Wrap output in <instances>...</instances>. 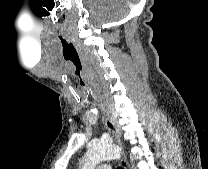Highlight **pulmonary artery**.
<instances>
[{
    "mask_svg": "<svg viewBox=\"0 0 208 169\" xmlns=\"http://www.w3.org/2000/svg\"><path fill=\"white\" fill-rule=\"evenodd\" d=\"M99 169H111V166L107 162H103L99 165Z\"/></svg>",
    "mask_w": 208,
    "mask_h": 169,
    "instance_id": "e3ab8cb5",
    "label": "pulmonary artery"
}]
</instances>
